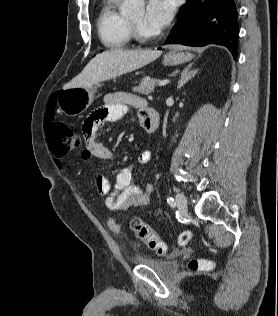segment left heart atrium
Listing matches in <instances>:
<instances>
[{
    "instance_id": "39dd6f15",
    "label": "left heart atrium",
    "mask_w": 278,
    "mask_h": 316,
    "mask_svg": "<svg viewBox=\"0 0 278 316\" xmlns=\"http://www.w3.org/2000/svg\"><path fill=\"white\" fill-rule=\"evenodd\" d=\"M175 5L173 0H148L144 23L155 32L166 27L173 18Z\"/></svg>"
}]
</instances>
